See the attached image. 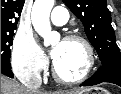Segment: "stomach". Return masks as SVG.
Listing matches in <instances>:
<instances>
[{
    "label": "stomach",
    "instance_id": "stomach-1",
    "mask_svg": "<svg viewBox=\"0 0 121 94\" xmlns=\"http://www.w3.org/2000/svg\"><path fill=\"white\" fill-rule=\"evenodd\" d=\"M77 94H110L107 90L101 87H94L88 90L81 91Z\"/></svg>",
    "mask_w": 121,
    "mask_h": 94
}]
</instances>
